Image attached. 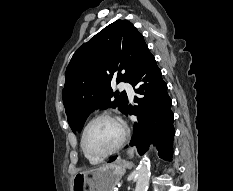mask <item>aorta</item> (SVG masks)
<instances>
[{"instance_id":"1","label":"aorta","mask_w":233,"mask_h":191,"mask_svg":"<svg viewBox=\"0 0 233 191\" xmlns=\"http://www.w3.org/2000/svg\"><path fill=\"white\" fill-rule=\"evenodd\" d=\"M150 179V159L145 154L137 167L135 191H147Z\"/></svg>"}]
</instances>
